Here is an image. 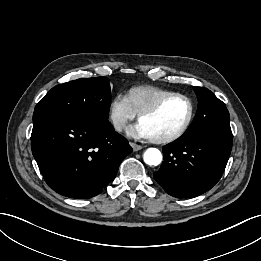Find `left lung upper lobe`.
Wrapping results in <instances>:
<instances>
[{
    "label": "left lung upper lobe",
    "instance_id": "left-lung-upper-lobe-1",
    "mask_svg": "<svg viewBox=\"0 0 261 261\" xmlns=\"http://www.w3.org/2000/svg\"><path fill=\"white\" fill-rule=\"evenodd\" d=\"M194 91L198 97V109L192 124L181 137L231 131L226 105L206 88L194 87Z\"/></svg>",
    "mask_w": 261,
    "mask_h": 261
}]
</instances>
